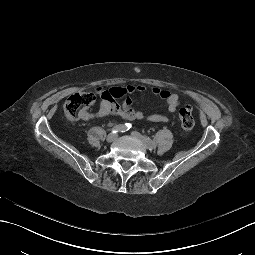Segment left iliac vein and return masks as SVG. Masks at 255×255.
Returning <instances> with one entry per match:
<instances>
[{"instance_id":"left-iliac-vein-1","label":"left iliac vein","mask_w":255,"mask_h":255,"mask_svg":"<svg viewBox=\"0 0 255 255\" xmlns=\"http://www.w3.org/2000/svg\"><path fill=\"white\" fill-rule=\"evenodd\" d=\"M131 135H132L134 138H136L137 140H139L140 142L144 143V145H145V147H146L147 149L153 150V149L155 148V145H152V146L146 145L145 142H144V137H143L139 132L133 131V132L131 133Z\"/></svg>"}]
</instances>
